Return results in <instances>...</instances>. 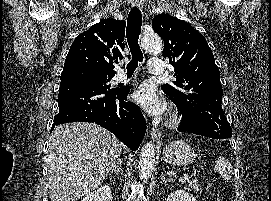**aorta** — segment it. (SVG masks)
Returning a JSON list of instances; mask_svg holds the SVG:
<instances>
[{
	"label": "aorta",
	"instance_id": "1",
	"mask_svg": "<svg viewBox=\"0 0 271 201\" xmlns=\"http://www.w3.org/2000/svg\"><path fill=\"white\" fill-rule=\"evenodd\" d=\"M141 45L146 51L155 53H160L163 48L160 36L153 32L143 34ZM154 162L155 147L151 142H149L142 147L139 157V174L141 180L147 181L151 177Z\"/></svg>",
	"mask_w": 271,
	"mask_h": 201
}]
</instances>
